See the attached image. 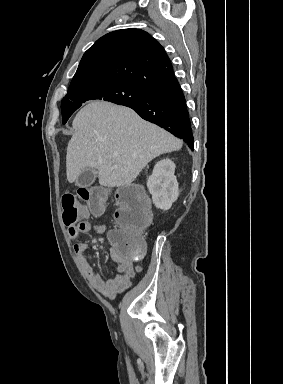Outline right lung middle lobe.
<instances>
[{"instance_id": "obj_1", "label": "right lung middle lobe", "mask_w": 283, "mask_h": 384, "mask_svg": "<svg viewBox=\"0 0 283 384\" xmlns=\"http://www.w3.org/2000/svg\"><path fill=\"white\" fill-rule=\"evenodd\" d=\"M148 92L147 89L121 82H107L69 89L61 103L62 122L65 124L86 101L99 99L122 105L142 100Z\"/></svg>"}]
</instances>
